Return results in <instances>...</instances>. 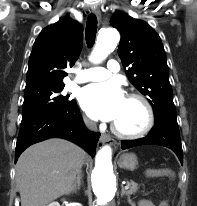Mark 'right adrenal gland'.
<instances>
[{"label": "right adrenal gland", "instance_id": "right-adrenal-gland-1", "mask_svg": "<svg viewBox=\"0 0 197 206\" xmlns=\"http://www.w3.org/2000/svg\"><path fill=\"white\" fill-rule=\"evenodd\" d=\"M81 179H82V175L80 173H78L77 179H76V181H75V183L73 185L71 193H76L77 190L80 189V187H81Z\"/></svg>", "mask_w": 197, "mask_h": 206}]
</instances>
